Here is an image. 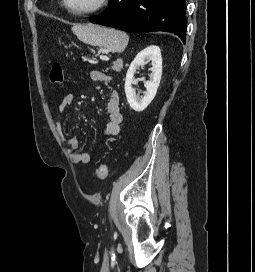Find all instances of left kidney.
Wrapping results in <instances>:
<instances>
[{
  "instance_id": "5707ae66",
  "label": "left kidney",
  "mask_w": 255,
  "mask_h": 272,
  "mask_svg": "<svg viewBox=\"0 0 255 272\" xmlns=\"http://www.w3.org/2000/svg\"><path fill=\"white\" fill-rule=\"evenodd\" d=\"M148 61L152 62V73L150 74V80L145 82L146 92L144 96L140 98L135 94V89L132 87V84L137 82L134 79V74L137 69L144 67ZM161 75L162 56L158 46L151 45L137 54L129 66L125 79L126 98L133 110L141 112L151 103L159 87Z\"/></svg>"
}]
</instances>
